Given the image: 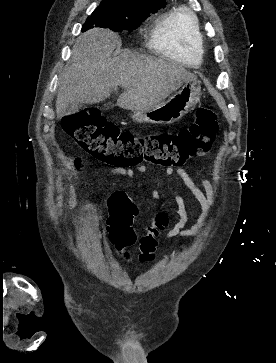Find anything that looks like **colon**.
Instances as JSON below:
<instances>
[{"mask_svg":"<svg viewBox=\"0 0 276 363\" xmlns=\"http://www.w3.org/2000/svg\"><path fill=\"white\" fill-rule=\"evenodd\" d=\"M62 128L92 157L116 166H134L142 162L166 168L178 167L188 160L205 155L218 131L216 114L208 107H199L194 122L178 133L158 132L135 137L108 123L96 109H89L65 117ZM159 216L155 224H160ZM109 234L118 247L134 245L137 236L128 214L111 209ZM139 260L154 259L156 237L145 234L139 238Z\"/></svg>","mask_w":276,"mask_h":363,"instance_id":"obj_1","label":"colon"}]
</instances>
